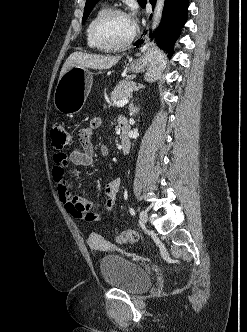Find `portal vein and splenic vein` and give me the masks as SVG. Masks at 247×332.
<instances>
[{"label":"portal vein and splenic vein","instance_id":"portal-vein-and-splenic-vein-1","mask_svg":"<svg viewBox=\"0 0 247 332\" xmlns=\"http://www.w3.org/2000/svg\"><path fill=\"white\" fill-rule=\"evenodd\" d=\"M129 102L128 99H122V100H118L115 102V105L117 107H124V105H126Z\"/></svg>","mask_w":247,"mask_h":332}]
</instances>
